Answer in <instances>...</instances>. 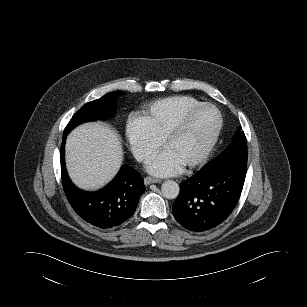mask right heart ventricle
Returning <instances> with one entry per match:
<instances>
[{"instance_id":"right-heart-ventricle-1","label":"right heart ventricle","mask_w":307,"mask_h":307,"mask_svg":"<svg viewBox=\"0 0 307 307\" xmlns=\"http://www.w3.org/2000/svg\"><path fill=\"white\" fill-rule=\"evenodd\" d=\"M198 103L199 100L189 95L166 97L150 104L142 118L151 132L162 140L183 112Z\"/></svg>"}]
</instances>
